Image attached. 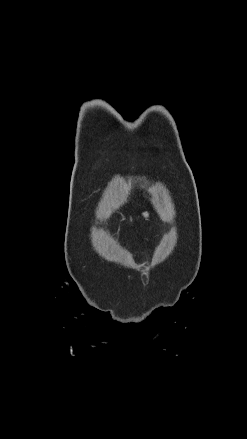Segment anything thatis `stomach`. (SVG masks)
<instances>
[{
  "label": "stomach",
  "instance_id": "0dacf381",
  "mask_svg": "<svg viewBox=\"0 0 247 439\" xmlns=\"http://www.w3.org/2000/svg\"><path fill=\"white\" fill-rule=\"evenodd\" d=\"M143 216L146 217V218H148V217H149V212H144V213H143Z\"/></svg>",
  "mask_w": 247,
  "mask_h": 439
}]
</instances>
